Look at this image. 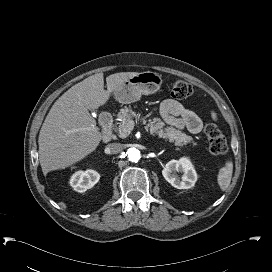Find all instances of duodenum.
Masks as SVG:
<instances>
[{"label":"duodenum","instance_id":"410a0bca","mask_svg":"<svg viewBox=\"0 0 272 272\" xmlns=\"http://www.w3.org/2000/svg\"><path fill=\"white\" fill-rule=\"evenodd\" d=\"M102 124L104 127L103 140L104 142H109L113 139V129L110 125V116L108 114L103 115Z\"/></svg>","mask_w":272,"mask_h":272}]
</instances>
